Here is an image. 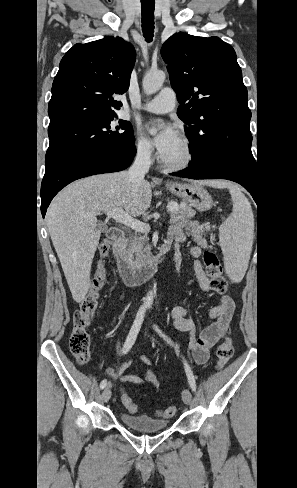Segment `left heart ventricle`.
<instances>
[{
    "label": "left heart ventricle",
    "mask_w": 297,
    "mask_h": 488,
    "mask_svg": "<svg viewBox=\"0 0 297 488\" xmlns=\"http://www.w3.org/2000/svg\"><path fill=\"white\" fill-rule=\"evenodd\" d=\"M185 157V147L182 140L179 138L169 149V151L162 157L167 162H180Z\"/></svg>",
    "instance_id": "1"
}]
</instances>
